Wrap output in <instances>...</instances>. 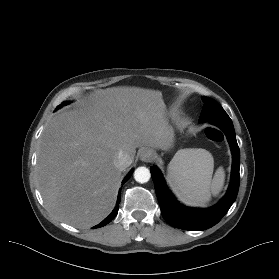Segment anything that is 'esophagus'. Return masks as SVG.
<instances>
[{
    "mask_svg": "<svg viewBox=\"0 0 279 279\" xmlns=\"http://www.w3.org/2000/svg\"><path fill=\"white\" fill-rule=\"evenodd\" d=\"M140 159L143 162H151L154 159V152L151 149H143L140 154Z\"/></svg>",
    "mask_w": 279,
    "mask_h": 279,
    "instance_id": "34e87169",
    "label": "esophagus"
}]
</instances>
